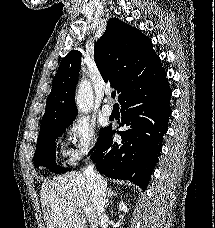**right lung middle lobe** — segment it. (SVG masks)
<instances>
[{
	"instance_id": "1",
	"label": "right lung middle lobe",
	"mask_w": 215,
	"mask_h": 228,
	"mask_svg": "<svg viewBox=\"0 0 215 228\" xmlns=\"http://www.w3.org/2000/svg\"><path fill=\"white\" fill-rule=\"evenodd\" d=\"M69 122H59L52 123L40 128L36 152L34 155V164L36 167L45 166L50 171L54 173H64L68 169H63L60 166L55 164V156H56V140L60 137L63 132H65L66 128L72 123ZM109 127L102 128L99 133L98 141L94 147L96 149L105 137V133L107 132Z\"/></svg>"
}]
</instances>
